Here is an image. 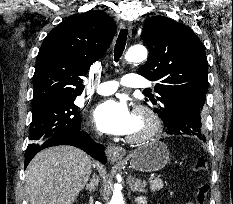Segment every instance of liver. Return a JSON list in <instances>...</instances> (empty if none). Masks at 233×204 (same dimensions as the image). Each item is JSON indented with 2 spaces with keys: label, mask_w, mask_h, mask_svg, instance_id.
<instances>
[{
  "label": "liver",
  "mask_w": 233,
  "mask_h": 204,
  "mask_svg": "<svg viewBox=\"0 0 233 204\" xmlns=\"http://www.w3.org/2000/svg\"><path fill=\"white\" fill-rule=\"evenodd\" d=\"M90 157L72 146L39 152L25 171L30 204H72L90 177Z\"/></svg>",
  "instance_id": "obj_1"
}]
</instances>
